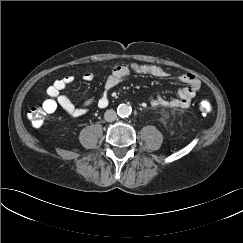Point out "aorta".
<instances>
[{
    "label": "aorta",
    "mask_w": 243,
    "mask_h": 243,
    "mask_svg": "<svg viewBox=\"0 0 243 243\" xmlns=\"http://www.w3.org/2000/svg\"><path fill=\"white\" fill-rule=\"evenodd\" d=\"M131 111L132 108L127 104H120L117 108V113L120 117H128Z\"/></svg>",
    "instance_id": "aorta-1"
}]
</instances>
